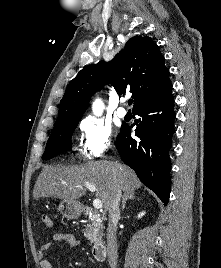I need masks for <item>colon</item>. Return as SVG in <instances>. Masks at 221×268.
Wrapping results in <instances>:
<instances>
[{
  "label": "colon",
  "mask_w": 221,
  "mask_h": 268,
  "mask_svg": "<svg viewBox=\"0 0 221 268\" xmlns=\"http://www.w3.org/2000/svg\"><path fill=\"white\" fill-rule=\"evenodd\" d=\"M41 222L44 225L45 228L47 229H51L53 227V222L52 219L49 215L47 214H43L41 216Z\"/></svg>",
  "instance_id": "5ec220e1"
}]
</instances>
